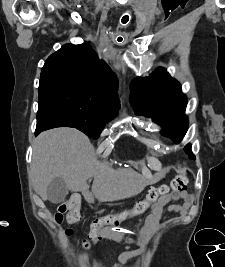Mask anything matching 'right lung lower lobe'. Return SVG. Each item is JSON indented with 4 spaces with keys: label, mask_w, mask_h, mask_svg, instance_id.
Masks as SVG:
<instances>
[{
    "label": "right lung lower lobe",
    "mask_w": 225,
    "mask_h": 267,
    "mask_svg": "<svg viewBox=\"0 0 225 267\" xmlns=\"http://www.w3.org/2000/svg\"><path fill=\"white\" fill-rule=\"evenodd\" d=\"M56 127H74V125L51 106L39 104L35 135L37 136L42 131Z\"/></svg>",
    "instance_id": "98d812e1"
}]
</instances>
